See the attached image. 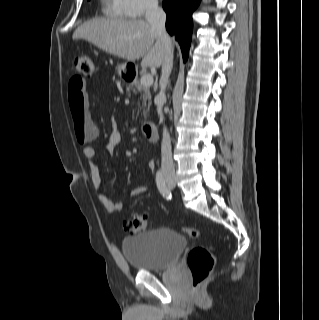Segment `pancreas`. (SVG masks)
<instances>
[{
    "label": "pancreas",
    "instance_id": "1",
    "mask_svg": "<svg viewBox=\"0 0 319 320\" xmlns=\"http://www.w3.org/2000/svg\"><path fill=\"white\" fill-rule=\"evenodd\" d=\"M131 92L134 95H137V93H140L138 106L140 107V104H141V108L143 109L142 115H143L144 119H146L147 113H148L150 106L152 104L151 92H150L149 87L142 85L141 81L136 79L132 83H130L127 87V93L129 96L131 95Z\"/></svg>",
    "mask_w": 319,
    "mask_h": 320
}]
</instances>
